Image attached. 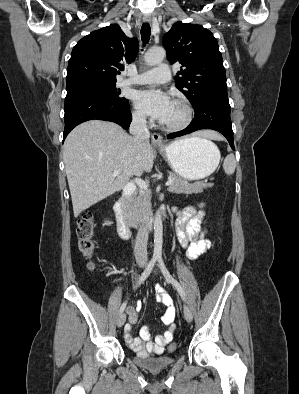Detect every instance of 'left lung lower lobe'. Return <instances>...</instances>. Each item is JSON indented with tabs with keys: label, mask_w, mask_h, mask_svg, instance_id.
Wrapping results in <instances>:
<instances>
[{
	"label": "left lung lower lobe",
	"mask_w": 299,
	"mask_h": 394,
	"mask_svg": "<svg viewBox=\"0 0 299 394\" xmlns=\"http://www.w3.org/2000/svg\"><path fill=\"white\" fill-rule=\"evenodd\" d=\"M193 108L195 116L190 125L182 131L170 133L168 139L186 135L200 129H213L222 133L229 141L231 148L235 150L227 93L207 95Z\"/></svg>",
	"instance_id": "0a47b994"
}]
</instances>
